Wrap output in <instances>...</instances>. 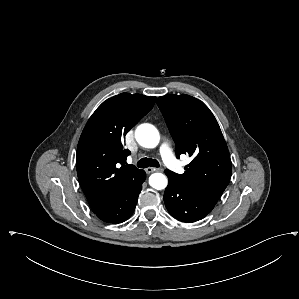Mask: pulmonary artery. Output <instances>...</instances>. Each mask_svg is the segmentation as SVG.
Returning a JSON list of instances; mask_svg holds the SVG:
<instances>
[{
	"label": "pulmonary artery",
	"mask_w": 299,
	"mask_h": 299,
	"mask_svg": "<svg viewBox=\"0 0 299 299\" xmlns=\"http://www.w3.org/2000/svg\"><path fill=\"white\" fill-rule=\"evenodd\" d=\"M160 154L165 165L170 168L173 172L179 173L182 169L181 164L176 160L170 145L163 142L160 146Z\"/></svg>",
	"instance_id": "obj_1"
}]
</instances>
